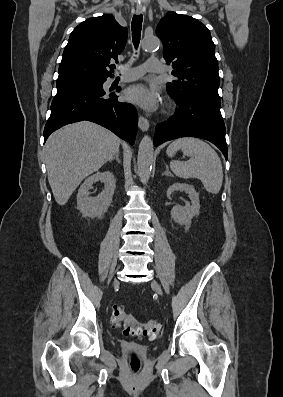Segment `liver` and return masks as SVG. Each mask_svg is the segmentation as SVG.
<instances>
[{"label": "liver", "instance_id": "1", "mask_svg": "<svg viewBox=\"0 0 283 397\" xmlns=\"http://www.w3.org/2000/svg\"><path fill=\"white\" fill-rule=\"evenodd\" d=\"M120 142L115 134L89 121L66 125L51 134L44 152L56 202L65 205L84 178L119 152Z\"/></svg>", "mask_w": 283, "mask_h": 397}]
</instances>
